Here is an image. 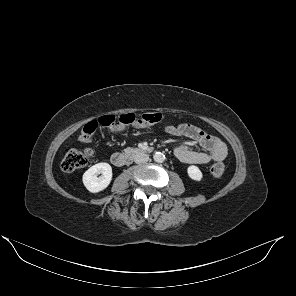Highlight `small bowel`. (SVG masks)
<instances>
[{"instance_id":"obj_1","label":"small bowel","mask_w":296,"mask_h":296,"mask_svg":"<svg viewBox=\"0 0 296 296\" xmlns=\"http://www.w3.org/2000/svg\"><path fill=\"white\" fill-rule=\"evenodd\" d=\"M165 132L170 135L184 136L189 142L174 148L173 154L177 160L184 164H207L210 162H221L227 156V146L219 137L207 134L199 127L181 123L168 125ZM195 146H200L206 151H199Z\"/></svg>"}]
</instances>
